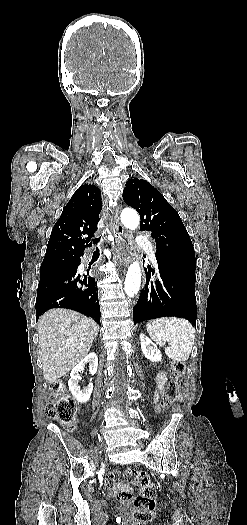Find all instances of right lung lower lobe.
Returning a JSON list of instances; mask_svg holds the SVG:
<instances>
[{
  "mask_svg": "<svg viewBox=\"0 0 247 525\" xmlns=\"http://www.w3.org/2000/svg\"><path fill=\"white\" fill-rule=\"evenodd\" d=\"M83 251L72 257V264L69 267L40 276L35 306L36 319L49 309L67 308L83 313L100 323L101 314L95 279L88 277L81 280L76 273ZM83 284L86 288L80 287Z\"/></svg>",
  "mask_w": 247,
  "mask_h": 525,
  "instance_id": "obj_1",
  "label": "right lung lower lobe"
}]
</instances>
